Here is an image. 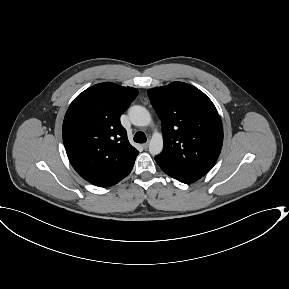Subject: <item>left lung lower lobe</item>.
I'll list each match as a JSON object with an SVG mask.
<instances>
[{
    "mask_svg": "<svg viewBox=\"0 0 289 289\" xmlns=\"http://www.w3.org/2000/svg\"><path fill=\"white\" fill-rule=\"evenodd\" d=\"M167 174L182 183H192L201 178L199 176H190V175H184L180 173H167Z\"/></svg>",
    "mask_w": 289,
    "mask_h": 289,
    "instance_id": "0a47b994",
    "label": "left lung lower lobe"
}]
</instances>
